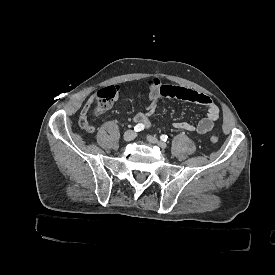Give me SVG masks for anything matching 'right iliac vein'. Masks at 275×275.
<instances>
[{
  "label": "right iliac vein",
  "instance_id": "63e3f726",
  "mask_svg": "<svg viewBox=\"0 0 275 275\" xmlns=\"http://www.w3.org/2000/svg\"><path fill=\"white\" fill-rule=\"evenodd\" d=\"M136 137V132L133 130H128L124 133L123 139L125 142H131Z\"/></svg>",
  "mask_w": 275,
  "mask_h": 275
}]
</instances>
